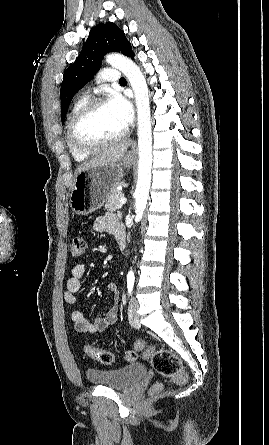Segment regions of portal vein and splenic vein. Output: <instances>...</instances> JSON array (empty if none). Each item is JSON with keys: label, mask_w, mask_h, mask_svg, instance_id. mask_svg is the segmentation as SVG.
I'll list each match as a JSON object with an SVG mask.
<instances>
[{"label": "portal vein and splenic vein", "mask_w": 269, "mask_h": 445, "mask_svg": "<svg viewBox=\"0 0 269 445\" xmlns=\"http://www.w3.org/2000/svg\"><path fill=\"white\" fill-rule=\"evenodd\" d=\"M119 202H120L121 205L122 204H126L127 199L125 197H122V198L119 199Z\"/></svg>", "instance_id": "18ae733b"}]
</instances>
